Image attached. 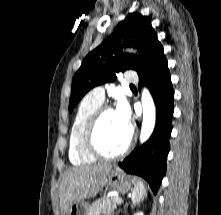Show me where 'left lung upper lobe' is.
I'll use <instances>...</instances> for the list:
<instances>
[{
  "label": "left lung upper lobe",
  "mask_w": 221,
  "mask_h": 215,
  "mask_svg": "<svg viewBox=\"0 0 221 215\" xmlns=\"http://www.w3.org/2000/svg\"><path fill=\"white\" fill-rule=\"evenodd\" d=\"M127 46L137 48L140 56L122 53V48ZM162 48L150 20L139 13L129 14L83 60L72 80L69 111L91 88L115 81L116 73L132 69L141 75Z\"/></svg>",
  "instance_id": "left-lung-upper-lobe-1"
}]
</instances>
